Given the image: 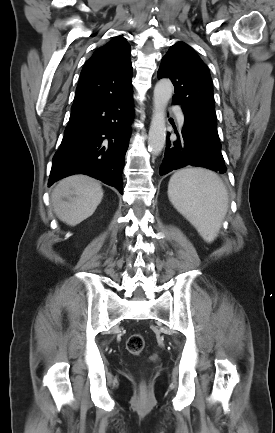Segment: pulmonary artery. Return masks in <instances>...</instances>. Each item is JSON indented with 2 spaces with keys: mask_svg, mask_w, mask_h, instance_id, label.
I'll return each mask as SVG.
<instances>
[{
  "mask_svg": "<svg viewBox=\"0 0 275 433\" xmlns=\"http://www.w3.org/2000/svg\"><path fill=\"white\" fill-rule=\"evenodd\" d=\"M177 106H171L170 107V110L172 111V112H175V111H177ZM177 119H178V122L180 123V124H183V122H184V115L182 114V113H179L178 115H177Z\"/></svg>",
  "mask_w": 275,
  "mask_h": 433,
  "instance_id": "e3ab8cb5",
  "label": "pulmonary artery"
}]
</instances>
